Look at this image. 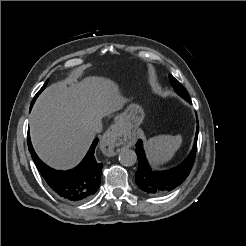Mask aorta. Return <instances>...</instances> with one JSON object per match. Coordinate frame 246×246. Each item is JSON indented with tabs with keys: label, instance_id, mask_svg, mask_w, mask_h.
Masks as SVG:
<instances>
[{
	"label": "aorta",
	"instance_id": "1",
	"mask_svg": "<svg viewBox=\"0 0 246 246\" xmlns=\"http://www.w3.org/2000/svg\"><path fill=\"white\" fill-rule=\"evenodd\" d=\"M119 161L124 166H132L137 161V155L135 151L123 148L119 154Z\"/></svg>",
	"mask_w": 246,
	"mask_h": 246
}]
</instances>
